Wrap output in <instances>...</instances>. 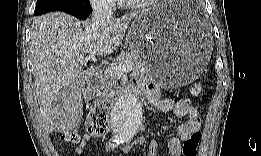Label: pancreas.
<instances>
[{
    "instance_id": "1",
    "label": "pancreas",
    "mask_w": 261,
    "mask_h": 156,
    "mask_svg": "<svg viewBox=\"0 0 261 156\" xmlns=\"http://www.w3.org/2000/svg\"><path fill=\"white\" fill-rule=\"evenodd\" d=\"M132 65V71L137 74H146L148 67L145 62L141 60V57L136 52H128L120 55L106 68L100 78L103 93H110L114 95L117 90V75L114 72V67L119 65ZM116 88V90H115Z\"/></svg>"
}]
</instances>
